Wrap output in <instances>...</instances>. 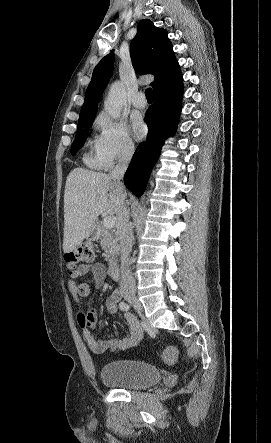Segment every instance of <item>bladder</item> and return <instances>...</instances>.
<instances>
[{
    "mask_svg": "<svg viewBox=\"0 0 271 443\" xmlns=\"http://www.w3.org/2000/svg\"><path fill=\"white\" fill-rule=\"evenodd\" d=\"M159 369L145 361L121 359L102 366L100 379L105 386L117 389H138L160 382Z\"/></svg>",
    "mask_w": 271,
    "mask_h": 443,
    "instance_id": "31cf9c89",
    "label": "bladder"
}]
</instances>
